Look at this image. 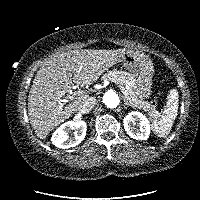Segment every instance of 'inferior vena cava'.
<instances>
[{"label":"inferior vena cava","instance_id":"1","mask_svg":"<svg viewBox=\"0 0 200 200\" xmlns=\"http://www.w3.org/2000/svg\"><path fill=\"white\" fill-rule=\"evenodd\" d=\"M95 102L96 99L94 97H85L78 107V111L82 114L89 113L94 107Z\"/></svg>","mask_w":200,"mask_h":200}]
</instances>
